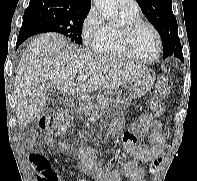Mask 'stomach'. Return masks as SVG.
Masks as SVG:
<instances>
[{
	"label": "stomach",
	"instance_id": "obj_1",
	"mask_svg": "<svg viewBox=\"0 0 197 181\" xmlns=\"http://www.w3.org/2000/svg\"><path fill=\"white\" fill-rule=\"evenodd\" d=\"M154 81L155 77L151 73H145L131 83L126 93L105 91L97 98H85V107L86 109H98L104 105H112L114 108H127L134 99L144 96L152 88Z\"/></svg>",
	"mask_w": 197,
	"mask_h": 181
}]
</instances>
